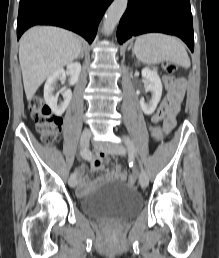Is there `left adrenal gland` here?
Returning a JSON list of instances; mask_svg holds the SVG:
<instances>
[{
	"label": "left adrenal gland",
	"instance_id": "obj_1",
	"mask_svg": "<svg viewBox=\"0 0 219 258\" xmlns=\"http://www.w3.org/2000/svg\"><path fill=\"white\" fill-rule=\"evenodd\" d=\"M131 47H132V46L130 45V46H129V48H128V50H130V49H131Z\"/></svg>",
	"mask_w": 219,
	"mask_h": 258
}]
</instances>
